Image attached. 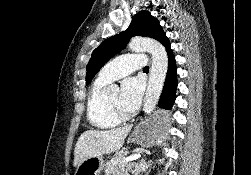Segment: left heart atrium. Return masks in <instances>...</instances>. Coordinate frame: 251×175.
<instances>
[{
  "label": "left heart atrium",
  "mask_w": 251,
  "mask_h": 175,
  "mask_svg": "<svg viewBox=\"0 0 251 175\" xmlns=\"http://www.w3.org/2000/svg\"><path fill=\"white\" fill-rule=\"evenodd\" d=\"M144 83L140 77L132 76L124 80L120 93L122 108L127 112H135L141 103Z\"/></svg>",
  "instance_id": "obj_1"
}]
</instances>
